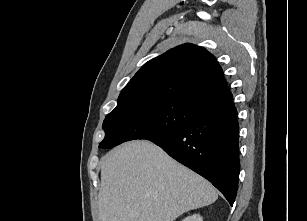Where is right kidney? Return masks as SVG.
<instances>
[{
  "label": "right kidney",
  "instance_id": "obj_1",
  "mask_svg": "<svg viewBox=\"0 0 307 221\" xmlns=\"http://www.w3.org/2000/svg\"><path fill=\"white\" fill-rule=\"evenodd\" d=\"M182 221H203V219L199 214H194L192 216L186 217Z\"/></svg>",
  "mask_w": 307,
  "mask_h": 221
}]
</instances>
